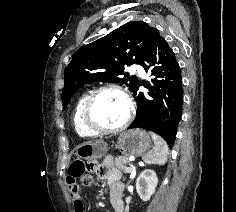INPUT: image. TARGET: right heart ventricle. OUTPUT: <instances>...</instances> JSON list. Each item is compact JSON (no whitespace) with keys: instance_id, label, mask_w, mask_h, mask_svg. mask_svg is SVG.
Wrapping results in <instances>:
<instances>
[{"instance_id":"right-heart-ventricle-1","label":"right heart ventricle","mask_w":236,"mask_h":212,"mask_svg":"<svg viewBox=\"0 0 236 212\" xmlns=\"http://www.w3.org/2000/svg\"><path fill=\"white\" fill-rule=\"evenodd\" d=\"M88 95L89 92L81 94L76 100L72 111V123L74 130L76 134L82 138H90L97 135L85 127L82 119L83 107Z\"/></svg>"}]
</instances>
